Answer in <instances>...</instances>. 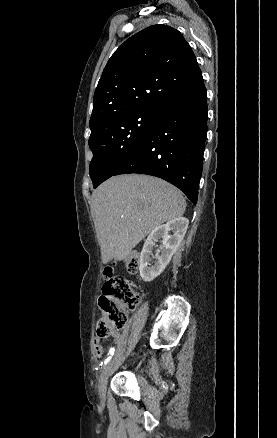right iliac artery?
<instances>
[{"label": "right iliac artery", "mask_w": 277, "mask_h": 438, "mask_svg": "<svg viewBox=\"0 0 277 438\" xmlns=\"http://www.w3.org/2000/svg\"><path fill=\"white\" fill-rule=\"evenodd\" d=\"M115 348L112 347L108 353V357L105 359L104 364L108 363L111 359V357L114 355Z\"/></svg>", "instance_id": "1"}]
</instances>
